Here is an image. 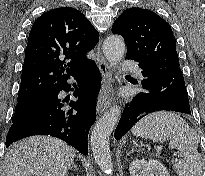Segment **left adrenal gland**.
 <instances>
[{"label": "left adrenal gland", "instance_id": "1", "mask_svg": "<svg viewBox=\"0 0 205 176\" xmlns=\"http://www.w3.org/2000/svg\"><path fill=\"white\" fill-rule=\"evenodd\" d=\"M137 149L136 148H134V147H132L131 148V150H130V152L127 154V155H131L134 151H136Z\"/></svg>", "mask_w": 205, "mask_h": 176}]
</instances>
